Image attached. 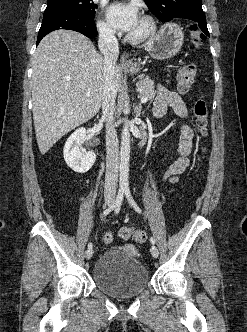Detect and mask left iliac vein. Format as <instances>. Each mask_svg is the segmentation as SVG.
I'll use <instances>...</instances> for the list:
<instances>
[{"mask_svg": "<svg viewBox=\"0 0 247 332\" xmlns=\"http://www.w3.org/2000/svg\"><path fill=\"white\" fill-rule=\"evenodd\" d=\"M150 251L154 258H157L159 256L158 248L155 245L151 246Z\"/></svg>", "mask_w": 247, "mask_h": 332, "instance_id": "1", "label": "left iliac vein"}]
</instances>
